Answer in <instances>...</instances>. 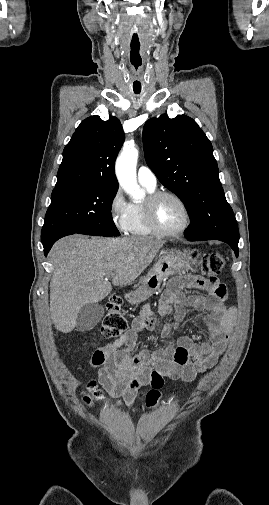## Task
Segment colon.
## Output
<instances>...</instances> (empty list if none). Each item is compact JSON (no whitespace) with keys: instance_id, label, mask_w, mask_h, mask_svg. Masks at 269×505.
I'll return each instance as SVG.
<instances>
[{"instance_id":"1","label":"colon","mask_w":269,"mask_h":505,"mask_svg":"<svg viewBox=\"0 0 269 505\" xmlns=\"http://www.w3.org/2000/svg\"><path fill=\"white\" fill-rule=\"evenodd\" d=\"M224 266V256L219 251H211L203 257L202 264L199 266V271L205 274V278L212 281H219ZM121 305V299L117 296L111 297L107 303L106 315L101 326V334L104 338L120 337L126 332L128 324L123 315ZM149 384L151 390L145 395V401L148 406H154L160 397V390L165 385L164 375L158 371H153L150 376ZM88 388L90 393L84 396L85 402L91 403L101 398V393L97 389L95 381H91Z\"/></svg>"}]
</instances>
